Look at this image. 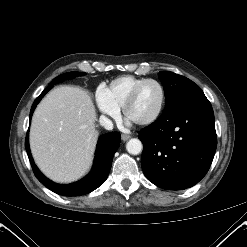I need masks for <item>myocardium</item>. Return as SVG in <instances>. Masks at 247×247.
I'll list each match as a JSON object with an SVG mask.
<instances>
[{
  "label": "myocardium",
  "instance_id": "myocardium-1",
  "mask_svg": "<svg viewBox=\"0 0 247 247\" xmlns=\"http://www.w3.org/2000/svg\"><path fill=\"white\" fill-rule=\"evenodd\" d=\"M148 83H154L160 88L161 100H160V104H159L157 111L150 118L137 123L138 125H141V126L150 125V124L156 122L159 119V117L161 116V114L163 113V110H164L165 104H166V97H167L166 89H165L164 85L159 80L147 78V79L141 81L140 83H138L132 89V91L130 92V94L128 95V97L126 98V100L122 106V112H123L124 116L128 118V115H127L128 109L133 104V102L136 100L142 87Z\"/></svg>",
  "mask_w": 247,
  "mask_h": 247
}]
</instances>
